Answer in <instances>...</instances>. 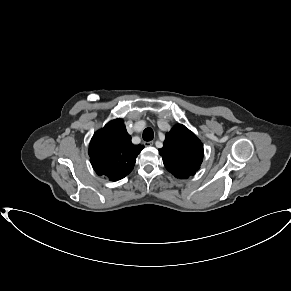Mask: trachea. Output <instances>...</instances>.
<instances>
[{
	"label": "trachea",
	"mask_w": 291,
	"mask_h": 291,
	"mask_svg": "<svg viewBox=\"0 0 291 291\" xmlns=\"http://www.w3.org/2000/svg\"><path fill=\"white\" fill-rule=\"evenodd\" d=\"M154 138V132L151 128H146L143 132V139L145 141H151Z\"/></svg>",
	"instance_id": "1"
}]
</instances>
